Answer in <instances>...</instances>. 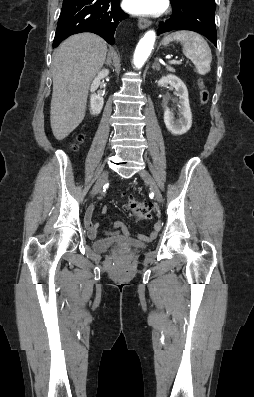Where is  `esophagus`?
Returning <instances> with one entry per match:
<instances>
[{"label": "esophagus", "instance_id": "obj_1", "mask_svg": "<svg viewBox=\"0 0 254 397\" xmlns=\"http://www.w3.org/2000/svg\"><path fill=\"white\" fill-rule=\"evenodd\" d=\"M151 25V21L145 18H140L138 21V26L140 29H145Z\"/></svg>", "mask_w": 254, "mask_h": 397}]
</instances>
